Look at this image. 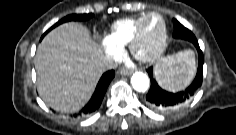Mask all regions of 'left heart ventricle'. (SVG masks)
I'll return each mask as SVG.
<instances>
[{
  "mask_svg": "<svg viewBox=\"0 0 236 135\" xmlns=\"http://www.w3.org/2000/svg\"><path fill=\"white\" fill-rule=\"evenodd\" d=\"M162 35V24L157 17H151L145 24L138 51L141 54L150 53L158 44Z\"/></svg>",
  "mask_w": 236,
  "mask_h": 135,
  "instance_id": "left-heart-ventricle-1",
  "label": "left heart ventricle"
}]
</instances>
